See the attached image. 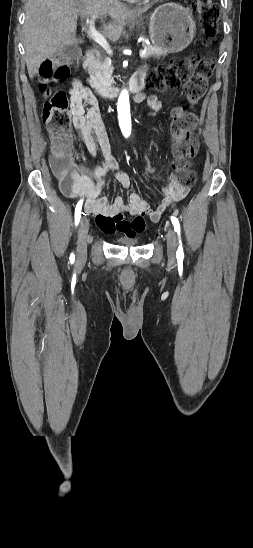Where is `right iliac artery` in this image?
Instances as JSON below:
<instances>
[{
	"label": "right iliac artery",
	"instance_id": "82829eb1",
	"mask_svg": "<svg viewBox=\"0 0 253 548\" xmlns=\"http://www.w3.org/2000/svg\"><path fill=\"white\" fill-rule=\"evenodd\" d=\"M83 200H80L75 208V225L77 226L79 224L80 218H81V209H82ZM70 259H74V255L71 254Z\"/></svg>",
	"mask_w": 253,
	"mask_h": 548
}]
</instances>
